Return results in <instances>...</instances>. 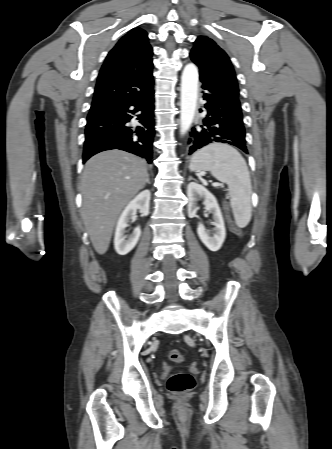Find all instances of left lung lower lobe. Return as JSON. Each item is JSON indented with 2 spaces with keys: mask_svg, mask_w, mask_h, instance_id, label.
I'll return each mask as SVG.
<instances>
[{
  "mask_svg": "<svg viewBox=\"0 0 332 449\" xmlns=\"http://www.w3.org/2000/svg\"><path fill=\"white\" fill-rule=\"evenodd\" d=\"M200 80L207 114L202 125L191 128L189 155L216 142L236 146L248 153L239 99L210 81Z\"/></svg>",
  "mask_w": 332,
  "mask_h": 449,
  "instance_id": "1",
  "label": "left lung lower lobe"
}]
</instances>
